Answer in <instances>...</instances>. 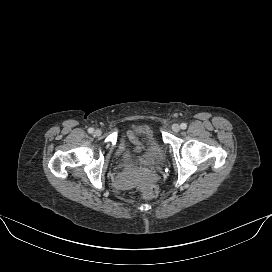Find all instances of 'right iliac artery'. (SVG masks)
<instances>
[{"label":"right iliac artery","instance_id":"82829eb1","mask_svg":"<svg viewBox=\"0 0 272 272\" xmlns=\"http://www.w3.org/2000/svg\"><path fill=\"white\" fill-rule=\"evenodd\" d=\"M94 132V129L93 128H89L88 129V133H93Z\"/></svg>","mask_w":272,"mask_h":272}]
</instances>
